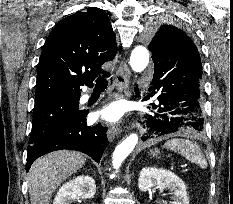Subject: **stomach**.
I'll return each mask as SVG.
<instances>
[{"instance_id":"obj_1","label":"stomach","mask_w":233,"mask_h":204,"mask_svg":"<svg viewBox=\"0 0 233 204\" xmlns=\"http://www.w3.org/2000/svg\"><path fill=\"white\" fill-rule=\"evenodd\" d=\"M148 154L151 156V157H156V158H159V155H160V151L158 149H150V151L148 152Z\"/></svg>"}]
</instances>
